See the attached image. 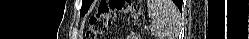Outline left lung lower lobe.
<instances>
[{
  "label": "left lung lower lobe",
  "instance_id": "1",
  "mask_svg": "<svg viewBox=\"0 0 249 39\" xmlns=\"http://www.w3.org/2000/svg\"><path fill=\"white\" fill-rule=\"evenodd\" d=\"M175 4L179 7V9H182V1L181 0H174Z\"/></svg>",
  "mask_w": 249,
  "mask_h": 39
}]
</instances>
